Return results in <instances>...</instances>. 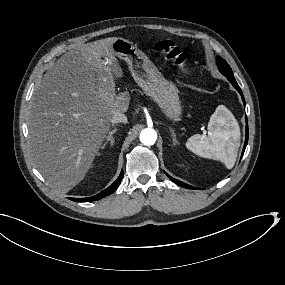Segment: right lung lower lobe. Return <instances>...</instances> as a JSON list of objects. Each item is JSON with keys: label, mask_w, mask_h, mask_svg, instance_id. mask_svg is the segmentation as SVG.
<instances>
[{"label": "right lung lower lobe", "mask_w": 285, "mask_h": 285, "mask_svg": "<svg viewBox=\"0 0 285 285\" xmlns=\"http://www.w3.org/2000/svg\"><path fill=\"white\" fill-rule=\"evenodd\" d=\"M124 172L121 171L119 177L117 178V180L110 185L107 189L103 190L102 192H100L99 194L93 196V197H89V198H70L73 201L76 202H89V201H95V200H99L105 196H108L110 194H112L119 186L122 178H123Z\"/></svg>", "instance_id": "98d812e1"}]
</instances>
